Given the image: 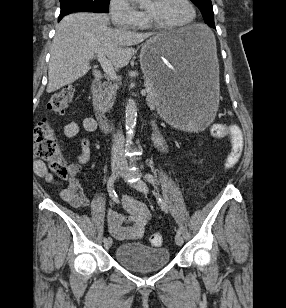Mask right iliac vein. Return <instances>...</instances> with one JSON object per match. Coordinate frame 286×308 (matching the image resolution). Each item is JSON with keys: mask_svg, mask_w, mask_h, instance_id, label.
<instances>
[{"mask_svg": "<svg viewBox=\"0 0 286 308\" xmlns=\"http://www.w3.org/2000/svg\"><path fill=\"white\" fill-rule=\"evenodd\" d=\"M112 171L115 175V178L118 177L119 174V162L117 160V155L114 156L113 162H112ZM112 245V239L111 238H107V240L104 242V247L106 249L110 248Z\"/></svg>", "mask_w": 286, "mask_h": 308, "instance_id": "right-iliac-vein-1", "label": "right iliac vein"}]
</instances>
